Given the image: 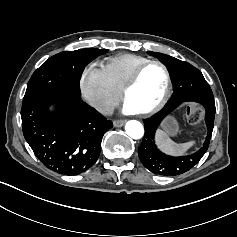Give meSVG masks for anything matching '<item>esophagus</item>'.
Returning a JSON list of instances; mask_svg holds the SVG:
<instances>
[{
  "instance_id": "1",
  "label": "esophagus",
  "mask_w": 237,
  "mask_h": 237,
  "mask_svg": "<svg viewBox=\"0 0 237 237\" xmlns=\"http://www.w3.org/2000/svg\"><path fill=\"white\" fill-rule=\"evenodd\" d=\"M125 122H126L125 120H115V121H113V125H114V127L119 128V127L123 126L125 124Z\"/></svg>"
}]
</instances>
